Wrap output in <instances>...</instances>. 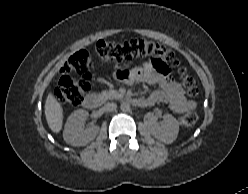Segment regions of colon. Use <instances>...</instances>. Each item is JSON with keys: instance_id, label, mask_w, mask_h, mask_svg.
<instances>
[{"instance_id": "colon-1", "label": "colon", "mask_w": 248, "mask_h": 194, "mask_svg": "<svg viewBox=\"0 0 248 194\" xmlns=\"http://www.w3.org/2000/svg\"><path fill=\"white\" fill-rule=\"evenodd\" d=\"M146 56L152 57L155 64H170L177 68L187 95L190 97L198 95L195 80L179 67V62L164 45L152 40L137 39L126 42L100 40L93 48L74 53L61 68L60 80L55 89L56 97L64 105L71 107L80 105L93 80V58L121 62ZM117 77L124 80L127 73L125 70L119 71ZM196 122L197 115L194 112H187L180 117V123L187 128L193 127Z\"/></svg>"}]
</instances>
